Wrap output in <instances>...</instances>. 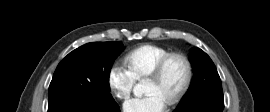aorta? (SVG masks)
I'll list each match as a JSON object with an SVG mask.
<instances>
[{
	"label": "aorta",
	"instance_id": "1",
	"mask_svg": "<svg viewBox=\"0 0 270 112\" xmlns=\"http://www.w3.org/2000/svg\"><path fill=\"white\" fill-rule=\"evenodd\" d=\"M144 93V90H143V82L137 84L135 87H134V94L135 96L137 97H140L142 96Z\"/></svg>",
	"mask_w": 270,
	"mask_h": 112
}]
</instances>
